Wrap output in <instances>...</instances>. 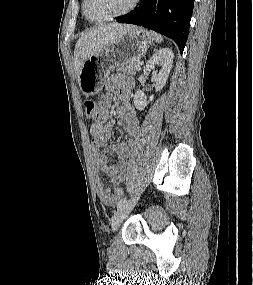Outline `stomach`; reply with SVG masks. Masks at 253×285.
<instances>
[{"label":"stomach","instance_id":"1","mask_svg":"<svg viewBox=\"0 0 253 285\" xmlns=\"http://www.w3.org/2000/svg\"><path fill=\"white\" fill-rule=\"evenodd\" d=\"M153 40L148 30L133 26L103 50L86 59L77 76L82 93L87 97L98 94L112 70L138 62Z\"/></svg>","mask_w":253,"mask_h":285}]
</instances>
